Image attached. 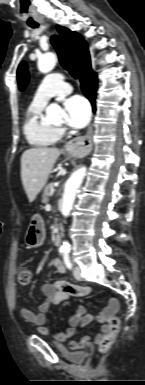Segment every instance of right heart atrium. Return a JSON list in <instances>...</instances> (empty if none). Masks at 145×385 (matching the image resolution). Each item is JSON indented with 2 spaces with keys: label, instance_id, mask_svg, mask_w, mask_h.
Here are the masks:
<instances>
[{
  "label": "right heart atrium",
  "instance_id": "right-heart-atrium-1",
  "mask_svg": "<svg viewBox=\"0 0 145 385\" xmlns=\"http://www.w3.org/2000/svg\"><path fill=\"white\" fill-rule=\"evenodd\" d=\"M58 132H59V133H62V130H59Z\"/></svg>",
  "mask_w": 145,
  "mask_h": 385
}]
</instances>
